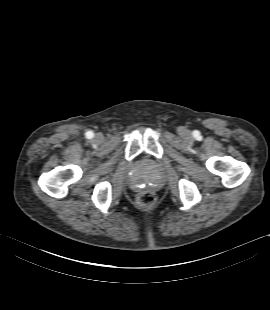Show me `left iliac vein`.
Listing matches in <instances>:
<instances>
[{
    "instance_id": "1",
    "label": "left iliac vein",
    "mask_w": 270,
    "mask_h": 310,
    "mask_svg": "<svg viewBox=\"0 0 270 310\" xmlns=\"http://www.w3.org/2000/svg\"><path fill=\"white\" fill-rule=\"evenodd\" d=\"M180 135L184 138V139H189L191 137V133L189 130L187 129H181L180 130Z\"/></svg>"
}]
</instances>
